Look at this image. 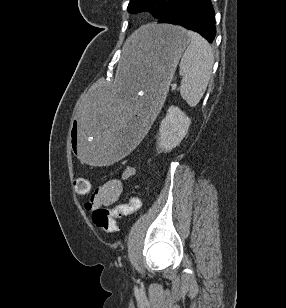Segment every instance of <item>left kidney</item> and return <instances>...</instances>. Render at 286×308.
<instances>
[{
    "label": "left kidney",
    "instance_id": "obj_1",
    "mask_svg": "<svg viewBox=\"0 0 286 308\" xmlns=\"http://www.w3.org/2000/svg\"><path fill=\"white\" fill-rule=\"evenodd\" d=\"M190 124L191 119L179 107L171 106L160 124V148L169 152L178 146L186 136Z\"/></svg>",
    "mask_w": 286,
    "mask_h": 308
}]
</instances>
